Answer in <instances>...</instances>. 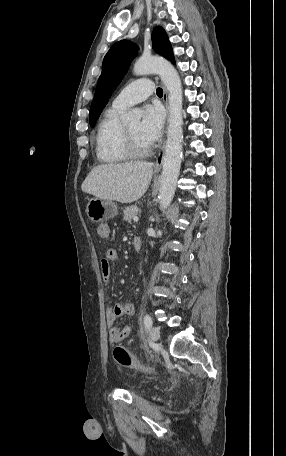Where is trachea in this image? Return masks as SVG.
Instances as JSON below:
<instances>
[{"label":"trachea","instance_id":"obj_1","mask_svg":"<svg viewBox=\"0 0 286 456\" xmlns=\"http://www.w3.org/2000/svg\"><path fill=\"white\" fill-rule=\"evenodd\" d=\"M156 93H157L158 96H162L163 95L162 88L158 87L157 90H156Z\"/></svg>","mask_w":286,"mask_h":456}]
</instances>
